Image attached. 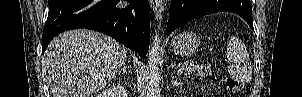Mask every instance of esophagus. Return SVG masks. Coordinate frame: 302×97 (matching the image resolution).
Listing matches in <instances>:
<instances>
[{
	"instance_id": "34e87169",
	"label": "esophagus",
	"mask_w": 302,
	"mask_h": 97,
	"mask_svg": "<svg viewBox=\"0 0 302 97\" xmlns=\"http://www.w3.org/2000/svg\"><path fill=\"white\" fill-rule=\"evenodd\" d=\"M151 8L155 13L156 19L161 18V12L163 11L161 0H149Z\"/></svg>"
}]
</instances>
